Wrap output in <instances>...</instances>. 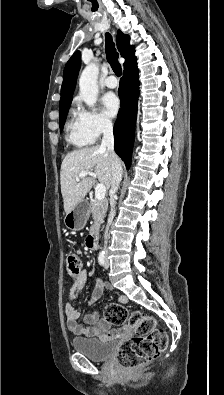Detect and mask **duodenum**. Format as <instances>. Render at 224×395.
<instances>
[{
  "instance_id": "410a0bca",
  "label": "duodenum",
  "mask_w": 224,
  "mask_h": 395,
  "mask_svg": "<svg viewBox=\"0 0 224 395\" xmlns=\"http://www.w3.org/2000/svg\"><path fill=\"white\" fill-rule=\"evenodd\" d=\"M97 239H98V228L96 226H93L90 234L86 238V245L88 249L95 250L97 248Z\"/></svg>"
}]
</instances>
